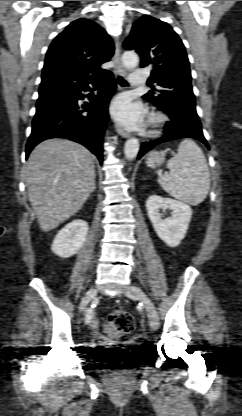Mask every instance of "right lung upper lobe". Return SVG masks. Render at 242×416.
Masks as SVG:
<instances>
[{
  "instance_id": "obj_1",
  "label": "right lung upper lobe",
  "mask_w": 242,
  "mask_h": 416,
  "mask_svg": "<svg viewBox=\"0 0 242 416\" xmlns=\"http://www.w3.org/2000/svg\"><path fill=\"white\" fill-rule=\"evenodd\" d=\"M114 44L105 30L88 19L70 23L51 43L45 58L39 94L90 84L110 71Z\"/></svg>"
}]
</instances>
